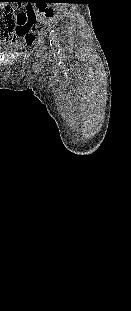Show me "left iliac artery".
Returning a JSON list of instances; mask_svg holds the SVG:
<instances>
[{"label":"left iliac artery","instance_id":"44dca946","mask_svg":"<svg viewBox=\"0 0 131 311\" xmlns=\"http://www.w3.org/2000/svg\"><path fill=\"white\" fill-rule=\"evenodd\" d=\"M49 38H50V44L55 47V48H58L60 45H59V41H58V37H57V34L54 32V30H52L50 32V35H49Z\"/></svg>","mask_w":131,"mask_h":311}]
</instances>
